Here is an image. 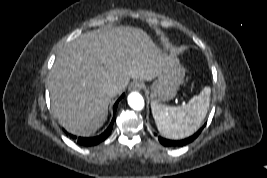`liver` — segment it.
<instances>
[{"label": "liver", "instance_id": "6515ba94", "mask_svg": "<svg viewBox=\"0 0 267 178\" xmlns=\"http://www.w3.org/2000/svg\"><path fill=\"white\" fill-rule=\"evenodd\" d=\"M175 58L143 30L119 26L83 33L58 53L49 77L51 108L68 132L90 136L105 122L113 98L109 85L125 90L130 78L151 81Z\"/></svg>", "mask_w": 267, "mask_h": 178}]
</instances>
